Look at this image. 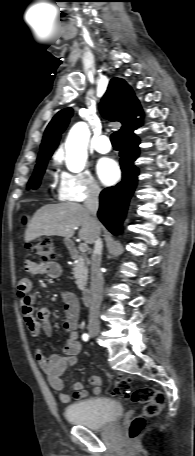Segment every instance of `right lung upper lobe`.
Listing matches in <instances>:
<instances>
[{"mask_svg": "<svg viewBox=\"0 0 195 456\" xmlns=\"http://www.w3.org/2000/svg\"><path fill=\"white\" fill-rule=\"evenodd\" d=\"M100 112L105 118L122 123V137L133 133L140 125V120L136 116L142 115L139 101L132 89L120 78H113L110 81L100 104ZM71 116V108L63 109L54 116L45 130L37 161L51 157Z\"/></svg>", "mask_w": 195, "mask_h": 456, "instance_id": "obj_1", "label": "right lung upper lobe"}]
</instances>
